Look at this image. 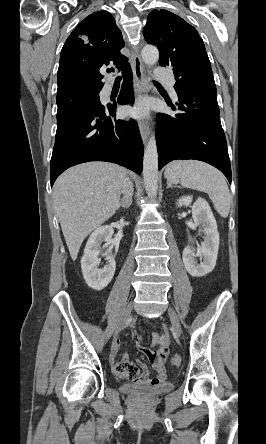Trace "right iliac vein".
I'll return each mask as SVG.
<instances>
[{
    "label": "right iliac vein",
    "instance_id": "63e3f726",
    "mask_svg": "<svg viewBox=\"0 0 266 444\" xmlns=\"http://www.w3.org/2000/svg\"><path fill=\"white\" fill-rule=\"evenodd\" d=\"M131 312H132V303H129L128 306L126 307L121 319H120L118 326H117L116 334H118L125 327L126 322L131 315Z\"/></svg>",
    "mask_w": 266,
    "mask_h": 444
}]
</instances>
